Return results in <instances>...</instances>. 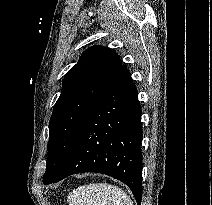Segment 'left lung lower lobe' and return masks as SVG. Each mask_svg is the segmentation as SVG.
Instances as JSON below:
<instances>
[{"mask_svg":"<svg viewBox=\"0 0 212 205\" xmlns=\"http://www.w3.org/2000/svg\"><path fill=\"white\" fill-rule=\"evenodd\" d=\"M142 124L137 89L121 65L85 118L58 176L99 172L125 183L138 205L142 198Z\"/></svg>","mask_w":212,"mask_h":205,"instance_id":"obj_1","label":"left lung lower lobe"}]
</instances>
